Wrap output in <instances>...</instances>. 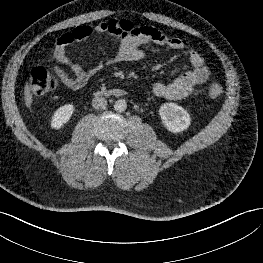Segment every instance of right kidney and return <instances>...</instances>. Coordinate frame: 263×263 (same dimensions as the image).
Returning <instances> with one entry per match:
<instances>
[{
	"instance_id": "1",
	"label": "right kidney",
	"mask_w": 263,
	"mask_h": 263,
	"mask_svg": "<svg viewBox=\"0 0 263 263\" xmlns=\"http://www.w3.org/2000/svg\"><path fill=\"white\" fill-rule=\"evenodd\" d=\"M74 113V106L72 104H66L58 108L52 116L50 125L52 129L62 128L71 118Z\"/></svg>"
}]
</instances>
